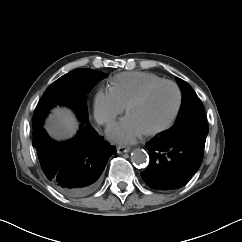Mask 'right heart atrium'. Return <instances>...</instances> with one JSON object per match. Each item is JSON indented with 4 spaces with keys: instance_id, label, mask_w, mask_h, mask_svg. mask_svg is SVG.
I'll list each match as a JSON object with an SVG mask.
<instances>
[{
    "instance_id": "right-heart-atrium-1",
    "label": "right heart atrium",
    "mask_w": 242,
    "mask_h": 242,
    "mask_svg": "<svg viewBox=\"0 0 242 242\" xmlns=\"http://www.w3.org/2000/svg\"><path fill=\"white\" fill-rule=\"evenodd\" d=\"M93 108L96 120L103 125L111 124L125 110V106L110 89L97 91Z\"/></svg>"
}]
</instances>
